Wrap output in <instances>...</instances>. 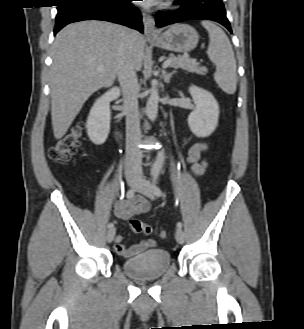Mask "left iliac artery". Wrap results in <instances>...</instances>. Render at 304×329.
<instances>
[{
	"instance_id": "obj_1",
	"label": "left iliac artery",
	"mask_w": 304,
	"mask_h": 329,
	"mask_svg": "<svg viewBox=\"0 0 304 329\" xmlns=\"http://www.w3.org/2000/svg\"><path fill=\"white\" fill-rule=\"evenodd\" d=\"M157 183H158V174H155L152 178L153 191H154L156 196H162L163 193H162L161 189L159 188V186L157 185ZM177 227L182 228V223L178 222Z\"/></svg>"
}]
</instances>
